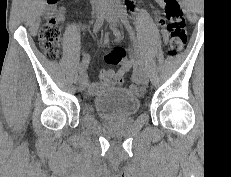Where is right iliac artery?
Here are the masks:
<instances>
[{
	"mask_svg": "<svg viewBox=\"0 0 231 177\" xmlns=\"http://www.w3.org/2000/svg\"><path fill=\"white\" fill-rule=\"evenodd\" d=\"M106 10H107V4L106 2L102 4L101 6V10L97 16V19L95 21L94 27H93V33L96 34L97 31L101 28V26L103 25L104 22V18H105V14H106ZM85 66H86V62L83 61L80 65H79V73L83 74L85 71Z\"/></svg>",
	"mask_w": 231,
	"mask_h": 177,
	"instance_id": "1",
	"label": "right iliac artery"
}]
</instances>
